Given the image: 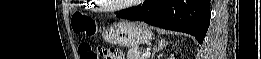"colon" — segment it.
<instances>
[{
	"mask_svg": "<svg viewBox=\"0 0 261 59\" xmlns=\"http://www.w3.org/2000/svg\"><path fill=\"white\" fill-rule=\"evenodd\" d=\"M71 25L74 33L93 37L96 33V22L82 13H75L72 16ZM79 54L81 59H98L102 57L104 59H115L116 54L103 47H98L96 50L88 44H82L79 47Z\"/></svg>",
	"mask_w": 261,
	"mask_h": 59,
	"instance_id": "obj_1",
	"label": "colon"
}]
</instances>
